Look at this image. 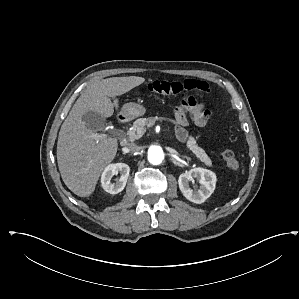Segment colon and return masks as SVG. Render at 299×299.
Segmentation results:
<instances>
[{"mask_svg": "<svg viewBox=\"0 0 299 299\" xmlns=\"http://www.w3.org/2000/svg\"><path fill=\"white\" fill-rule=\"evenodd\" d=\"M147 88L149 92L159 95H178L182 93L213 94V90L206 82L196 79L183 81L154 80L148 84ZM222 156L229 168L234 170L239 168L240 162L231 149L224 150Z\"/></svg>", "mask_w": 299, "mask_h": 299, "instance_id": "5ec220e1", "label": "colon"}]
</instances>
